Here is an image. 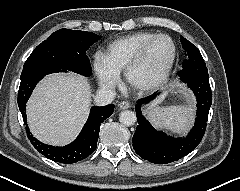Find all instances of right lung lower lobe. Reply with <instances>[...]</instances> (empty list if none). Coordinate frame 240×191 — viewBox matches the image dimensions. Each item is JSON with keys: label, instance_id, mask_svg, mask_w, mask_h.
<instances>
[{"label": "right lung lower lobe", "instance_id": "obj_1", "mask_svg": "<svg viewBox=\"0 0 240 191\" xmlns=\"http://www.w3.org/2000/svg\"><path fill=\"white\" fill-rule=\"evenodd\" d=\"M65 72L59 68H45L34 71H24L21 74V83L18 91V106L21 111L24 124H26V102L36 84L47 74ZM114 111V105L109 104L104 107L94 106L91 108L90 116L84 125L81 133L75 141L63 147H55L44 144L37 140L28 130L26 125L27 137L32 145L45 157L55 162L72 164L87 158L92 154L97 146L100 124Z\"/></svg>", "mask_w": 240, "mask_h": 191}]
</instances>
